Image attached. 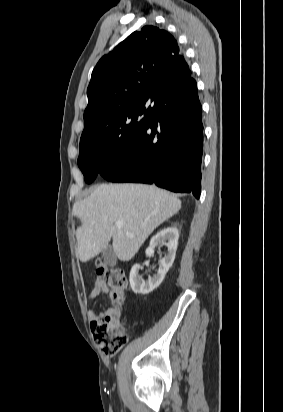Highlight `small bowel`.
<instances>
[{
  "label": "small bowel",
  "mask_w": 283,
  "mask_h": 412,
  "mask_svg": "<svg viewBox=\"0 0 283 412\" xmlns=\"http://www.w3.org/2000/svg\"><path fill=\"white\" fill-rule=\"evenodd\" d=\"M108 292V287L106 286V284L104 283L103 280L101 279H97L94 282V286L89 294V299L90 300H95L99 295L103 294V293H107ZM114 309H107L104 313H96L94 310H89L88 312V316H89V320L90 322H94L95 320H98L99 318L103 317L104 315L113 312Z\"/></svg>",
  "instance_id": "small-bowel-1"
}]
</instances>
